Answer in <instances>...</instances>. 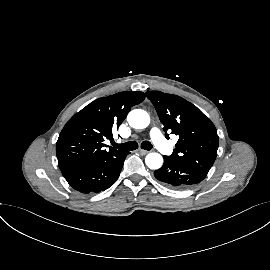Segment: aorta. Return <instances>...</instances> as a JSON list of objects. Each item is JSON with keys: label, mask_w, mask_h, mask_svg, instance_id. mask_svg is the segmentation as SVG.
<instances>
[{"label": "aorta", "mask_w": 270, "mask_h": 270, "mask_svg": "<svg viewBox=\"0 0 270 270\" xmlns=\"http://www.w3.org/2000/svg\"><path fill=\"white\" fill-rule=\"evenodd\" d=\"M127 121L133 128L144 129L150 124V116L144 110L135 109L128 114ZM145 163L150 169H159L163 164V158L159 153H149L145 158Z\"/></svg>", "instance_id": "obj_1"}]
</instances>
